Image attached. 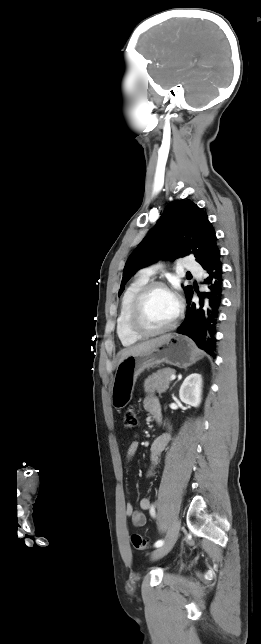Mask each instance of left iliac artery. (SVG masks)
I'll use <instances>...</instances> for the list:
<instances>
[{"label":"left iliac artery","mask_w":261,"mask_h":644,"mask_svg":"<svg viewBox=\"0 0 261 644\" xmlns=\"http://www.w3.org/2000/svg\"><path fill=\"white\" fill-rule=\"evenodd\" d=\"M150 513H151V515H152L153 517L155 516L154 506H152V507H151ZM163 544H164V541H163V540H158V541L154 544V546H155V547H161Z\"/></svg>","instance_id":"left-iliac-artery-1"}]
</instances>
